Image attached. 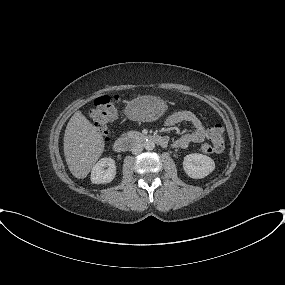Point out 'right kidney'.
<instances>
[{
	"mask_svg": "<svg viewBox=\"0 0 285 285\" xmlns=\"http://www.w3.org/2000/svg\"><path fill=\"white\" fill-rule=\"evenodd\" d=\"M115 176V160L112 158H102L92 168L91 182L93 184H106L110 183Z\"/></svg>",
	"mask_w": 285,
	"mask_h": 285,
	"instance_id": "ca27d5eb",
	"label": "right kidney"
}]
</instances>
